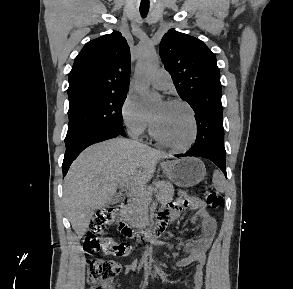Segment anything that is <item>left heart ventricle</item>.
Here are the masks:
<instances>
[{
  "instance_id": "b2bd125f",
  "label": "left heart ventricle",
  "mask_w": 293,
  "mask_h": 289,
  "mask_svg": "<svg viewBox=\"0 0 293 289\" xmlns=\"http://www.w3.org/2000/svg\"><path fill=\"white\" fill-rule=\"evenodd\" d=\"M157 132L165 141L186 144L192 135V120L189 111L182 105L161 103L152 112Z\"/></svg>"
}]
</instances>
